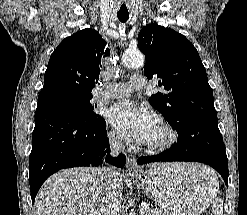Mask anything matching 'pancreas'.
<instances>
[{
    "instance_id": "pancreas-1",
    "label": "pancreas",
    "mask_w": 247,
    "mask_h": 215,
    "mask_svg": "<svg viewBox=\"0 0 247 215\" xmlns=\"http://www.w3.org/2000/svg\"><path fill=\"white\" fill-rule=\"evenodd\" d=\"M142 215H166L163 211L161 210H156V209H142Z\"/></svg>"
}]
</instances>
